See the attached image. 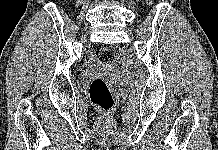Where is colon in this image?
Wrapping results in <instances>:
<instances>
[{
  "mask_svg": "<svg viewBox=\"0 0 218 150\" xmlns=\"http://www.w3.org/2000/svg\"><path fill=\"white\" fill-rule=\"evenodd\" d=\"M150 3L153 0H148ZM96 59L103 64L114 61L115 54L108 47H100L95 53ZM90 100L95 107L104 113L111 111L114 105V98L108 86V83L103 78H95L89 88Z\"/></svg>",
  "mask_w": 218,
  "mask_h": 150,
  "instance_id": "5ec220e1",
  "label": "colon"
}]
</instances>
